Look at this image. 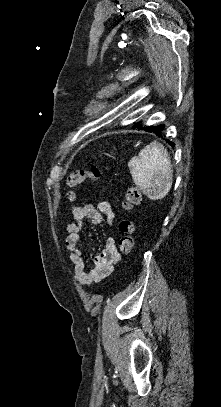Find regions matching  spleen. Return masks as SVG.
Wrapping results in <instances>:
<instances>
[{"label":"spleen","mask_w":221,"mask_h":407,"mask_svg":"<svg viewBox=\"0 0 221 407\" xmlns=\"http://www.w3.org/2000/svg\"><path fill=\"white\" fill-rule=\"evenodd\" d=\"M128 167L134 184L149 199H163L170 191L173 182L170 156L159 142L144 147L137 157H132Z\"/></svg>","instance_id":"1"}]
</instances>
